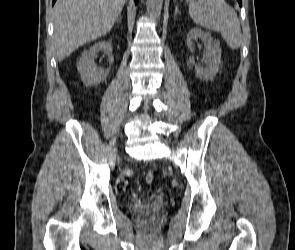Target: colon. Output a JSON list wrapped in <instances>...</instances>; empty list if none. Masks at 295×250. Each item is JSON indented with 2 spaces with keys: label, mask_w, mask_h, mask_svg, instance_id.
<instances>
[{
  "label": "colon",
  "mask_w": 295,
  "mask_h": 250,
  "mask_svg": "<svg viewBox=\"0 0 295 250\" xmlns=\"http://www.w3.org/2000/svg\"><path fill=\"white\" fill-rule=\"evenodd\" d=\"M155 178V173L153 171H148L145 175V181L151 183Z\"/></svg>",
  "instance_id": "1"
}]
</instances>
